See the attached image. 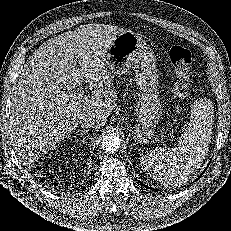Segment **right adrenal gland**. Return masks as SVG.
Instances as JSON below:
<instances>
[{"label": "right adrenal gland", "instance_id": "1", "mask_svg": "<svg viewBox=\"0 0 231 231\" xmlns=\"http://www.w3.org/2000/svg\"><path fill=\"white\" fill-rule=\"evenodd\" d=\"M88 131H89V130H79V131L76 133V135L73 136V137H75V138H77V136L83 137L84 135H86V133H88Z\"/></svg>", "mask_w": 231, "mask_h": 231}]
</instances>
